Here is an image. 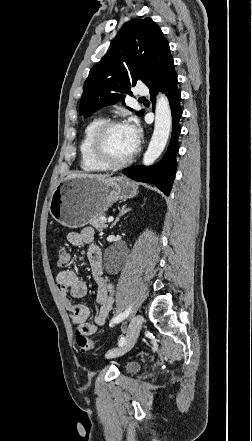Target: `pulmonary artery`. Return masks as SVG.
<instances>
[{
  "instance_id": "1",
  "label": "pulmonary artery",
  "mask_w": 252,
  "mask_h": 441,
  "mask_svg": "<svg viewBox=\"0 0 252 441\" xmlns=\"http://www.w3.org/2000/svg\"><path fill=\"white\" fill-rule=\"evenodd\" d=\"M135 93L138 96H146L149 94V89L146 86H138Z\"/></svg>"
}]
</instances>
